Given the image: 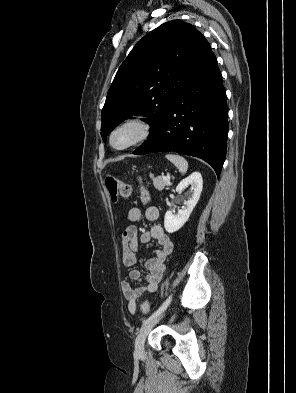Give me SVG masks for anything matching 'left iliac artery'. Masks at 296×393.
I'll list each match as a JSON object with an SVG mask.
<instances>
[{
    "label": "left iliac artery",
    "mask_w": 296,
    "mask_h": 393,
    "mask_svg": "<svg viewBox=\"0 0 296 393\" xmlns=\"http://www.w3.org/2000/svg\"><path fill=\"white\" fill-rule=\"evenodd\" d=\"M172 300V295H170L165 302L160 306V308L158 310H156L148 319H146L143 322V326L146 325L147 323H149L152 319H154L155 317H157L158 315H160L170 304Z\"/></svg>",
    "instance_id": "44dca946"
}]
</instances>
